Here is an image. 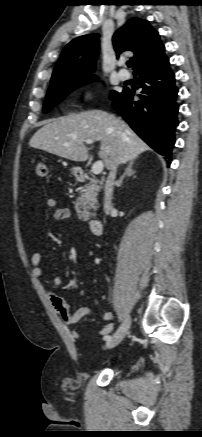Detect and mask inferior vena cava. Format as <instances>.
Segmentation results:
<instances>
[{
	"instance_id": "1",
	"label": "inferior vena cava",
	"mask_w": 202,
	"mask_h": 437,
	"mask_svg": "<svg viewBox=\"0 0 202 437\" xmlns=\"http://www.w3.org/2000/svg\"><path fill=\"white\" fill-rule=\"evenodd\" d=\"M117 165L112 168L105 183L104 189V210L107 214L113 209L111 204L113 188L115 184Z\"/></svg>"
}]
</instances>
